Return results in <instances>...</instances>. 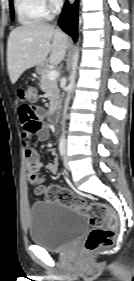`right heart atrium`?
I'll list each match as a JSON object with an SVG mask.
<instances>
[{"label":"right heart atrium","instance_id":"obj_1","mask_svg":"<svg viewBox=\"0 0 134 281\" xmlns=\"http://www.w3.org/2000/svg\"><path fill=\"white\" fill-rule=\"evenodd\" d=\"M49 11H54L61 5V0H43Z\"/></svg>","mask_w":134,"mask_h":281}]
</instances>
